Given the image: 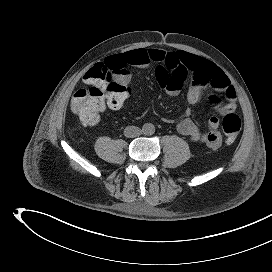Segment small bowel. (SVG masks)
<instances>
[{"instance_id":"obj_1","label":"small bowel","mask_w":272,"mask_h":272,"mask_svg":"<svg viewBox=\"0 0 272 272\" xmlns=\"http://www.w3.org/2000/svg\"><path fill=\"white\" fill-rule=\"evenodd\" d=\"M101 64L124 69L126 66L146 69L155 64L156 77L161 89L167 95H179L189 78L190 84L186 91L188 103L196 104L206 96L222 116L231 114L236 109V91L227 75L215 64L192 53L181 50L167 52L161 49L140 48L108 56ZM118 78L131 81V75L126 69L125 74ZM208 86L212 87L218 95H206L205 89ZM207 127V132L201 131L187 113L176 120V128L180 134L211 149L219 148L222 144V136L218 131L219 119L215 116L210 117Z\"/></svg>"}]
</instances>
